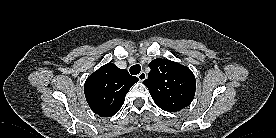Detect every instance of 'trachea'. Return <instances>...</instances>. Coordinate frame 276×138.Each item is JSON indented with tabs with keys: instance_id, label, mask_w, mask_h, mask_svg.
Returning <instances> with one entry per match:
<instances>
[{
	"instance_id": "3493384b",
	"label": "trachea",
	"mask_w": 276,
	"mask_h": 138,
	"mask_svg": "<svg viewBox=\"0 0 276 138\" xmlns=\"http://www.w3.org/2000/svg\"><path fill=\"white\" fill-rule=\"evenodd\" d=\"M140 70H141V66L139 64H135L130 67L129 71L132 75H137L139 74Z\"/></svg>"
}]
</instances>
